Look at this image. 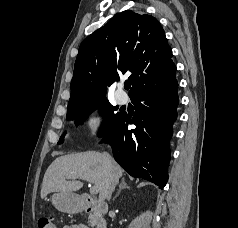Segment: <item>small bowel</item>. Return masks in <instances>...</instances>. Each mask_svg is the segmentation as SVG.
Wrapping results in <instances>:
<instances>
[{
  "label": "small bowel",
  "mask_w": 238,
  "mask_h": 228,
  "mask_svg": "<svg viewBox=\"0 0 238 228\" xmlns=\"http://www.w3.org/2000/svg\"><path fill=\"white\" fill-rule=\"evenodd\" d=\"M63 228H88V227L84 224H69L64 226Z\"/></svg>",
  "instance_id": "small-bowel-1"
}]
</instances>
